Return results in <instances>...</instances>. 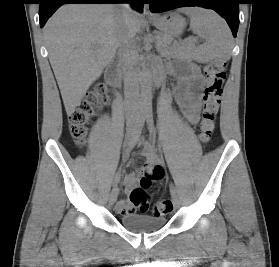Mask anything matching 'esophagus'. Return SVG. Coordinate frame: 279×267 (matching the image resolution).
I'll return each mask as SVG.
<instances>
[{"label": "esophagus", "mask_w": 279, "mask_h": 267, "mask_svg": "<svg viewBox=\"0 0 279 267\" xmlns=\"http://www.w3.org/2000/svg\"><path fill=\"white\" fill-rule=\"evenodd\" d=\"M144 15L146 17H152L153 14L149 10V5L147 3L144 4Z\"/></svg>", "instance_id": "esophagus-1"}]
</instances>
